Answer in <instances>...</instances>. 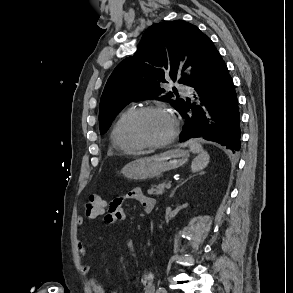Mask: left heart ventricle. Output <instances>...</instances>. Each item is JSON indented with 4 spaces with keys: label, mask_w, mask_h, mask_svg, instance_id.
Wrapping results in <instances>:
<instances>
[{
    "label": "left heart ventricle",
    "mask_w": 293,
    "mask_h": 293,
    "mask_svg": "<svg viewBox=\"0 0 293 293\" xmlns=\"http://www.w3.org/2000/svg\"><path fill=\"white\" fill-rule=\"evenodd\" d=\"M141 135L150 142L166 139L173 130L171 118L165 112L148 113L140 121Z\"/></svg>",
    "instance_id": "b2bd125f"
}]
</instances>
